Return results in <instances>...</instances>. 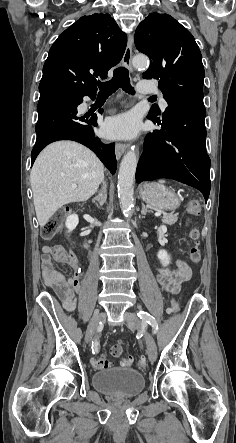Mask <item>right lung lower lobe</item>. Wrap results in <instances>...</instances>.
<instances>
[{
  "mask_svg": "<svg viewBox=\"0 0 236 443\" xmlns=\"http://www.w3.org/2000/svg\"><path fill=\"white\" fill-rule=\"evenodd\" d=\"M95 98L96 93L74 95L62 91L40 93L38 103L37 139L32 150V164L40 151L48 144L59 140L77 141L96 153L112 174L116 171L115 144H103L94 135L97 116H80L77 106L83 97ZM102 111L100 110V113Z\"/></svg>",
  "mask_w": 236,
  "mask_h": 443,
  "instance_id": "obj_1",
  "label": "right lung lower lobe"
}]
</instances>
